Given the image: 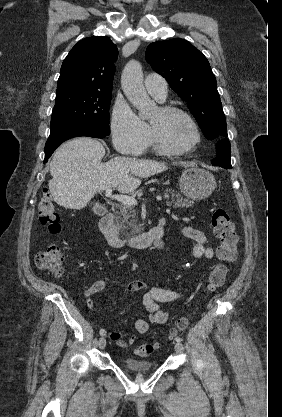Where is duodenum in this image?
<instances>
[{"label": "duodenum", "mask_w": 282, "mask_h": 417, "mask_svg": "<svg viewBox=\"0 0 282 417\" xmlns=\"http://www.w3.org/2000/svg\"><path fill=\"white\" fill-rule=\"evenodd\" d=\"M114 213L108 212L102 215L99 221V229L110 246L114 249H119L124 245L135 249H145L154 245L156 248H162L163 229L157 225L150 231L131 236L129 238H122L113 226Z\"/></svg>", "instance_id": "410a0bca"}]
</instances>
